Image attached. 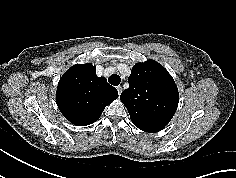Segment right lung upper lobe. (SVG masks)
Here are the masks:
<instances>
[{
	"instance_id": "1",
	"label": "right lung upper lobe",
	"mask_w": 236,
	"mask_h": 178,
	"mask_svg": "<svg viewBox=\"0 0 236 178\" xmlns=\"http://www.w3.org/2000/svg\"><path fill=\"white\" fill-rule=\"evenodd\" d=\"M118 97L104 77L96 76L91 63L76 64L60 78L56 103L64 117L77 126L97 121L105 106Z\"/></svg>"
}]
</instances>
